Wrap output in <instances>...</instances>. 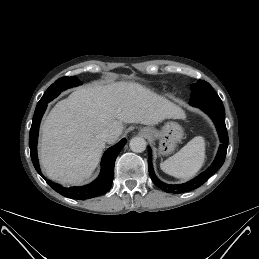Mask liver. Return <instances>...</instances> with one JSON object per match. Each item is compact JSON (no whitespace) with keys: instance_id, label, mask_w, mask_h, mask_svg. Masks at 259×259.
<instances>
[{"instance_id":"1","label":"liver","mask_w":259,"mask_h":259,"mask_svg":"<svg viewBox=\"0 0 259 259\" xmlns=\"http://www.w3.org/2000/svg\"><path fill=\"white\" fill-rule=\"evenodd\" d=\"M184 111L138 83L94 85L59 101L42 125L40 163L46 175L61 184H77L97 167L105 143H114L123 123L156 125L182 119ZM109 130L104 141L98 134Z\"/></svg>"}]
</instances>
